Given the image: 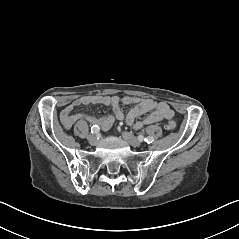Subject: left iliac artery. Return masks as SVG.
I'll list each match as a JSON object with an SVG mask.
<instances>
[{"label":"left iliac artery","instance_id":"obj_1","mask_svg":"<svg viewBox=\"0 0 239 239\" xmlns=\"http://www.w3.org/2000/svg\"><path fill=\"white\" fill-rule=\"evenodd\" d=\"M144 141L147 143H152L154 141V138L152 136H148V137L144 138Z\"/></svg>","mask_w":239,"mask_h":239}]
</instances>
